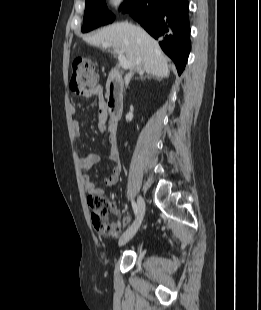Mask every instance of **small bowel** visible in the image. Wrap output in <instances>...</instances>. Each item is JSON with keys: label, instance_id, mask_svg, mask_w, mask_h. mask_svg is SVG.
<instances>
[{"label": "small bowel", "instance_id": "1", "mask_svg": "<svg viewBox=\"0 0 261 310\" xmlns=\"http://www.w3.org/2000/svg\"><path fill=\"white\" fill-rule=\"evenodd\" d=\"M83 97L92 98L95 97L99 100V108L100 111L104 110V102L102 99V88L100 86L93 87L91 89H87L81 92H78ZM109 148H108V157L110 161L113 163V168L111 173L105 177L104 184L106 186L114 185L119 178L121 172V163L118 154L117 144H116V135L115 132L111 130L109 127ZM72 131L73 134L78 137L80 135V125L77 121H73L72 123ZM99 155L95 153H88L85 156L80 158L79 165L83 172L82 181L85 187V190L88 194L93 195H103L104 189L98 187L88 175V171L99 161Z\"/></svg>", "mask_w": 261, "mask_h": 310}]
</instances>
